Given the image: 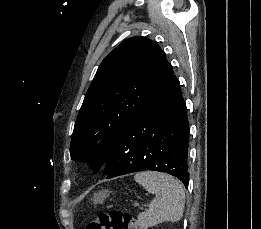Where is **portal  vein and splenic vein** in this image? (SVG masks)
I'll return each instance as SVG.
<instances>
[{
    "instance_id": "18ae733b",
    "label": "portal vein and splenic vein",
    "mask_w": 261,
    "mask_h": 229,
    "mask_svg": "<svg viewBox=\"0 0 261 229\" xmlns=\"http://www.w3.org/2000/svg\"><path fill=\"white\" fill-rule=\"evenodd\" d=\"M133 207H134V208H137V207L148 208V207H149V204H148V203H141V204L134 203V204H133Z\"/></svg>"
}]
</instances>
